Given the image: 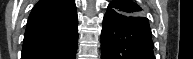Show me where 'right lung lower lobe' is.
Listing matches in <instances>:
<instances>
[{
	"label": "right lung lower lobe",
	"instance_id": "98d812e1",
	"mask_svg": "<svg viewBox=\"0 0 193 59\" xmlns=\"http://www.w3.org/2000/svg\"><path fill=\"white\" fill-rule=\"evenodd\" d=\"M77 40L78 34L49 50L23 52L21 59H75Z\"/></svg>",
	"mask_w": 193,
	"mask_h": 59
}]
</instances>
